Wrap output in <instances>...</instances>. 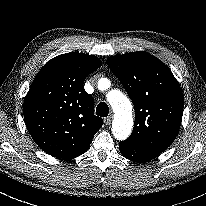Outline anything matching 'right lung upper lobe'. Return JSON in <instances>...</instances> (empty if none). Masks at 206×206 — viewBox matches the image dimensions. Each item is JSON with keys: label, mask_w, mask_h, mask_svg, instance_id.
Masks as SVG:
<instances>
[{"label": "right lung upper lobe", "mask_w": 206, "mask_h": 206, "mask_svg": "<svg viewBox=\"0 0 206 206\" xmlns=\"http://www.w3.org/2000/svg\"><path fill=\"white\" fill-rule=\"evenodd\" d=\"M102 65L93 55H59L38 72L24 100L26 127L49 155L69 160L86 151L103 120L94 115V102L83 86Z\"/></svg>", "instance_id": "cb5924a9"}]
</instances>
